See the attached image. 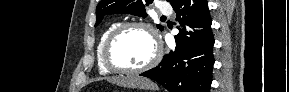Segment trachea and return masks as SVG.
Segmentation results:
<instances>
[{
  "mask_svg": "<svg viewBox=\"0 0 289 92\" xmlns=\"http://www.w3.org/2000/svg\"><path fill=\"white\" fill-rule=\"evenodd\" d=\"M161 18H166V16H162Z\"/></svg>",
  "mask_w": 289,
  "mask_h": 92,
  "instance_id": "1",
  "label": "trachea"
}]
</instances>
